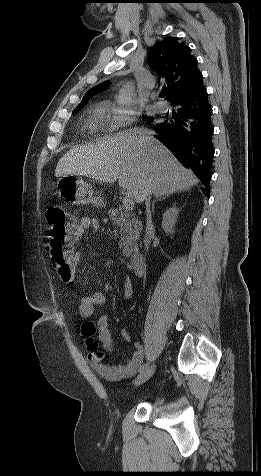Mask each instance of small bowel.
Masks as SVG:
<instances>
[{
	"instance_id": "small-bowel-1",
	"label": "small bowel",
	"mask_w": 261,
	"mask_h": 476,
	"mask_svg": "<svg viewBox=\"0 0 261 476\" xmlns=\"http://www.w3.org/2000/svg\"><path fill=\"white\" fill-rule=\"evenodd\" d=\"M92 229L98 231L100 229V222L97 218L84 217L77 225L75 233L76 240L82 239L87 230ZM81 261V254L75 252L71 257V265L75 268ZM113 261H109L106 266H113ZM123 296L126 301L131 300L133 296V286L129 278L123 280ZM106 302L105 296L101 292H93L89 295L83 296L79 304V314L85 320V323L92 325L91 338H96L102 346L108 351H115L116 346L111 337L109 330L108 317L105 314H101L97 317L95 322L91 321V318L95 314V310L98 306L104 305ZM121 337L126 341H131L130 333L123 329L121 330ZM135 350L132 357L126 363L119 366H110L103 363L100 355L91 350L88 354V359L92 367L98 372L99 375L110 381H117L123 378L131 377L139 371L143 363L144 350L140 343H134Z\"/></svg>"
}]
</instances>
